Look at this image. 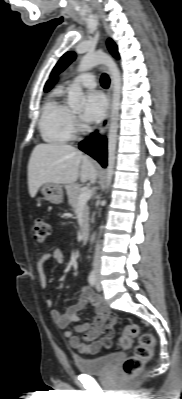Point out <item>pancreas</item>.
<instances>
[{
	"instance_id": "cf45deb5",
	"label": "pancreas",
	"mask_w": 182,
	"mask_h": 399,
	"mask_svg": "<svg viewBox=\"0 0 182 399\" xmlns=\"http://www.w3.org/2000/svg\"><path fill=\"white\" fill-rule=\"evenodd\" d=\"M65 188L68 195L69 205L75 212L78 207L79 196L82 193V190L78 184H69L66 185ZM78 223L80 226V233L84 234L85 232H87L89 227V208L87 206V203L83 205L82 211L80 212V214H78Z\"/></svg>"
}]
</instances>
